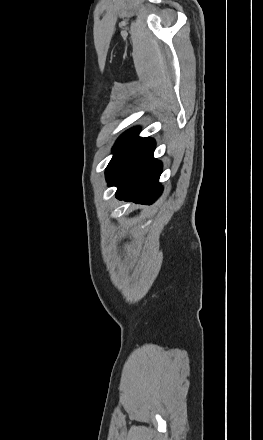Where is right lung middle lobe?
Instances as JSON below:
<instances>
[{
  "label": "right lung middle lobe",
  "instance_id": "dd1d6c3e",
  "mask_svg": "<svg viewBox=\"0 0 263 440\" xmlns=\"http://www.w3.org/2000/svg\"><path fill=\"white\" fill-rule=\"evenodd\" d=\"M138 133L139 128H133L126 131L117 140L115 146L113 147V158L106 168V178H108L120 166V164L127 158L134 147L142 139L138 136Z\"/></svg>",
  "mask_w": 263,
  "mask_h": 440
}]
</instances>
